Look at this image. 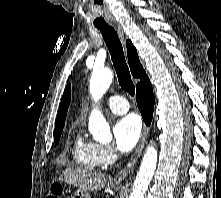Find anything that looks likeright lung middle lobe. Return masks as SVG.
Segmentation results:
<instances>
[{
  "label": "right lung middle lobe",
  "mask_w": 221,
  "mask_h": 198,
  "mask_svg": "<svg viewBox=\"0 0 221 198\" xmlns=\"http://www.w3.org/2000/svg\"><path fill=\"white\" fill-rule=\"evenodd\" d=\"M61 133H62V130L55 132V135H54L55 144L59 143Z\"/></svg>",
  "instance_id": "dd1d6c3e"
}]
</instances>
